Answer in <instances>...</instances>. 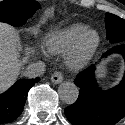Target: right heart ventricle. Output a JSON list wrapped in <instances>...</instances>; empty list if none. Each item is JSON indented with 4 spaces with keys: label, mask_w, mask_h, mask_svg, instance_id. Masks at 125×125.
Listing matches in <instances>:
<instances>
[{
    "label": "right heart ventricle",
    "mask_w": 125,
    "mask_h": 125,
    "mask_svg": "<svg viewBox=\"0 0 125 125\" xmlns=\"http://www.w3.org/2000/svg\"><path fill=\"white\" fill-rule=\"evenodd\" d=\"M87 30V26L74 24L49 33L45 39L47 50L53 54H60L70 48L78 36Z\"/></svg>",
    "instance_id": "1"
}]
</instances>
